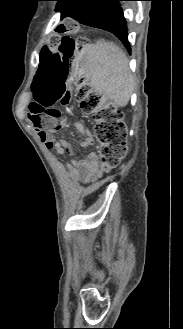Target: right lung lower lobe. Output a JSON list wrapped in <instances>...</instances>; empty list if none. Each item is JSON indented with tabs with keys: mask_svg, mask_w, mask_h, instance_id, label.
<instances>
[{
	"mask_svg": "<svg viewBox=\"0 0 183 329\" xmlns=\"http://www.w3.org/2000/svg\"><path fill=\"white\" fill-rule=\"evenodd\" d=\"M119 1L123 0H59L57 10L61 11L62 18L71 17L113 33L130 51L126 20Z\"/></svg>",
	"mask_w": 183,
	"mask_h": 329,
	"instance_id": "obj_1",
	"label": "right lung lower lobe"
}]
</instances>
